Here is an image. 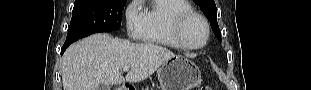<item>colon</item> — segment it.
I'll return each mask as SVG.
<instances>
[{
  "mask_svg": "<svg viewBox=\"0 0 311 90\" xmlns=\"http://www.w3.org/2000/svg\"><path fill=\"white\" fill-rule=\"evenodd\" d=\"M199 90H212V89L210 87L203 86V87H200Z\"/></svg>",
  "mask_w": 311,
  "mask_h": 90,
  "instance_id": "1",
  "label": "colon"
}]
</instances>
